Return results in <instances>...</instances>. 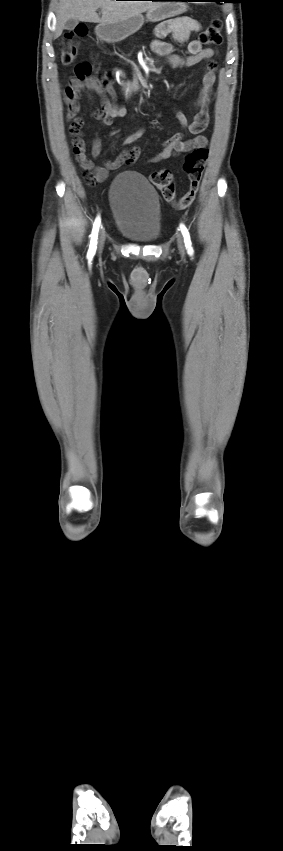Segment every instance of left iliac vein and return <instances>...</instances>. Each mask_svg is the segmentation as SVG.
Listing matches in <instances>:
<instances>
[{"instance_id": "left-iliac-vein-1", "label": "left iliac vein", "mask_w": 283, "mask_h": 851, "mask_svg": "<svg viewBox=\"0 0 283 851\" xmlns=\"http://www.w3.org/2000/svg\"><path fill=\"white\" fill-rule=\"evenodd\" d=\"M177 244H178V248H179L180 253L183 255L184 252H185V249H184L183 238L180 234L177 235Z\"/></svg>"}]
</instances>
